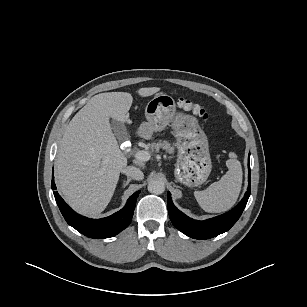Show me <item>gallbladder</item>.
<instances>
[{
  "label": "gallbladder",
  "mask_w": 307,
  "mask_h": 307,
  "mask_svg": "<svg viewBox=\"0 0 307 307\" xmlns=\"http://www.w3.org/2000/svg\"><path fill=\"white\" fill-rule=\"evenodd\" d=\"M111 128L119 140H124L126 138L127 130L123 123L116 120H111Z\"/></svg>",
  "instance_id": "bac80fb5"
}]
</instances>
